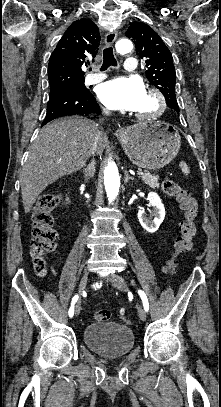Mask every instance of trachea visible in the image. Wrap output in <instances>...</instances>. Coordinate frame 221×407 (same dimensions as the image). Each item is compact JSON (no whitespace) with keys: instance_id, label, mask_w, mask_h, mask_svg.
<instances>
[{"instance_id":"1","label":"trachea","mask_w":221,"mask_h":407,"mask_svg":"<svg viewBox=\"0 0 221 407\" xmlns=\"http://www.w3.org/2000/svg\"><path fill=\"white\" fill-rule=\"evenodd\" d=\"M116 65H117V61L114 57L112 47L105 48L103 50V65L101 67V70L104 71L109 66H116Z\"/></svg>"}]
</instances>
